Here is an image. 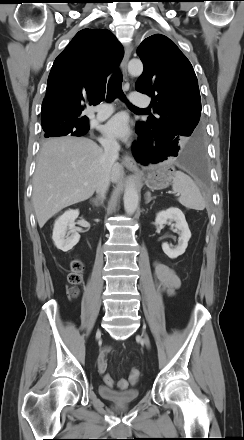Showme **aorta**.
<instances>
[{
  "instance_id": "aorta-1",
  "label": "aorta",
  "mask_w": 244,
  "mask_h": 440,
  "mask_svg": "<svg viewBox=\"0 0 244 440\" xmlns=\"http://www.w3.org/2000/svg\"><path fill=\"white\" fill-rule=\"evenodd\" d=\"M128 72L133 76H140L143 72V64L138 59H133L128 63ZM124 209L127 214L132 215L138 206L139 195L136 185L129 179L124 192Z\"/></svg>"
}]
</instances>
